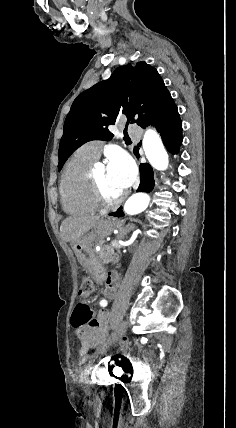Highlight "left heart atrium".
<instances>
[{"label":"left heart atrium","mask_w":236,"mask_h":428,"mask_svg":"<svg viewBox=\"0 0 236 428\" xmlns=\"http://www.w3.org/2000/svg\"><path fill=\"white\" fill-rule=\"evenodd\" d=\"M108 171L119 181L124 189H128L136 178V167L126 154L118 153L109 158Z\"/></svg>","instance_id":"39dd6f15"}]
</instances>
